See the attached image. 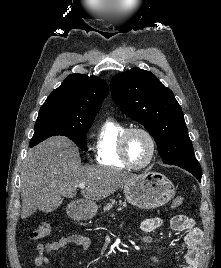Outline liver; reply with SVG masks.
<instances>
[{"label":"liver","instance_id":"liver-1","mask_svg":"<svg viewBox=\"0 0 221 268\" xmlns=\"http://www.w3.org/2000/svg\"><path fill=\"white\" fill-rule=\"evenodd\" d=\"M134 175L108 167L82 166L78 149L67 138L51 137L28 151L21 171V218L45 211L62 197L74 198L80 183L87 201L115 193Z\"/></svg>","mask_w":221,"mask_h":268}]
</instances>
